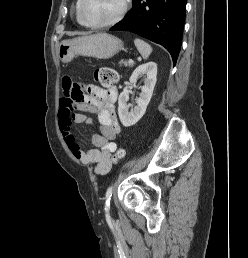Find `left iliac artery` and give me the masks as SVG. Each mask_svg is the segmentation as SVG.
Masks as SVG:
<instances>
[{"mask_svg":"<svg viewBox=\"0 0 248 258\" xmlns=\"http://www.w3.org/2000/svg\"><path fill=\"white\" fill-rule=\"evenodd\" d=\"M112 192H113V187L110 186L108 189H107V192H106V195H105V210H109L110 209V199H111V196H112Z\"/></svg>","mask_w":248,"mask_h":258,"instance_id":"1","label":"left iliac artery"}]
</instances>
